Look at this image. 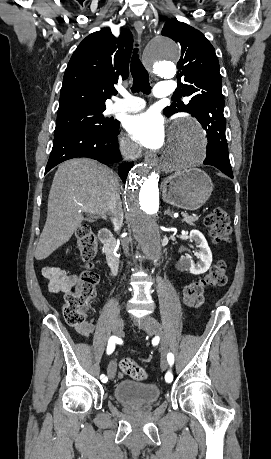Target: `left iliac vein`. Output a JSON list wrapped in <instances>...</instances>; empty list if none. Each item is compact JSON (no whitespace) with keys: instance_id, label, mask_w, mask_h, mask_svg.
<instances>
[{"instance_id":"1","label":"left iliac vein","mask_w":271,"mask_h":459,"mask_svg":"<svg viewBox=\"0 0 271 459\" xmlns=\"http://www.w3.org/2000/svg\"><path fill=\"white\" fill-rule=\"evenodd\" d=\"M140 326L149 335H157L160 337L161 368L165 370L168 366V343L160 323L152 316L147 315L141 321Z\"/></svg>"}]
</instances>
